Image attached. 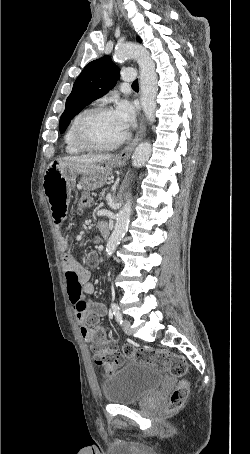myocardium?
I'll use <instances>...</instances> for the list:
<instances>
[{"instance_id": "1", "label": "myocardium", "mask_w": 250, "mask_h": 454, "mask_svg": "<svg viewBox=\"0 0 250 454\" xmlns=\"http://www.w3.org/2000/svg\"><path fill=\"white\" fill-rule=\"evenodd\" d=\"M113 111L111 107L106 105H99L93 108L86 110L76 122L73 132V138L75 143L82 149L86 151H109L116 149L117 147L121 146L128 138L129 133L126 132L120 139L116 140L113 143L107 145H98L93 144L85 139L83 135V129L87 121L93 117L94 115L102 112Z\"/></svg>"}]
</instances>
